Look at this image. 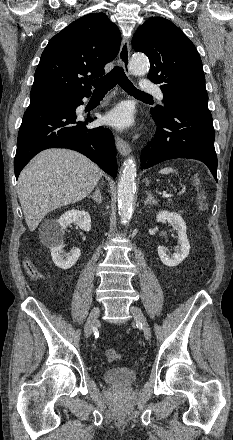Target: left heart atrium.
Returning <instances> with one entry per match:
<instances>
[{
    "label": "left heart atrium",
    "mask_w": 233,
    "mask_h": 440,
    "mask_svg": "<svg viewBox=\"0 0 233 440\" xmlns=\"http://www.w3.org/2000/svg\"><path fill=\"white\" fill-rule=\"evenodd\" d=\"M106 122L119 129H126L133 124V116L131 109L125 104H119L105 117Z\"/></svg>",
    "instance_id": "39dd6f15"
}]
</instances>
